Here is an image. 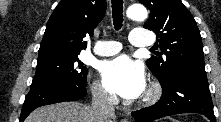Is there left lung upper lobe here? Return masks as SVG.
<instances>
[{
	"label": "left lung upper lobe",
	"mask_w": 221,
	"mask_h": 122,
	"mask_svg": "<svg viewBox=\"0 0 221 122\" xmlns=\"http://www.w3.org/2000/svg\"><path fill=\"white\" fill-rule=\"evenodd\" d=\"M150 9L144 28L157 34L162 53L147 60L148 68L166 84L184 73L205 74L204 53L196 21L180 0H139Z\"/></svg>",
	"instance_id": "obj_1"
}]
</instances>
